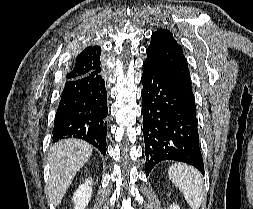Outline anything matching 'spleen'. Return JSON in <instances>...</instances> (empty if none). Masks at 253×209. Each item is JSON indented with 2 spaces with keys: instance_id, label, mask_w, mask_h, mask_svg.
Here are the masks:
<instances>
[{
  "instance_id": "1",
  "label": "spleen",
  "mask_w": 253,
  "mask_h": 209,
  "mask_svg": "<svg viewBox=\"0 0 253 209\" xmlns=\"http://www.w3.org/2000/svg\"><path fill=\"white\" fill-rule=\"evenodd\" d=\"M169 178L183 193L192 209H199L203 199V181L201 174L192 166L174 164L169 168Z\"/></svg>"
}]
</instances>
